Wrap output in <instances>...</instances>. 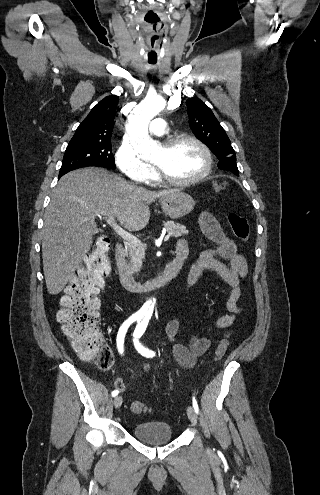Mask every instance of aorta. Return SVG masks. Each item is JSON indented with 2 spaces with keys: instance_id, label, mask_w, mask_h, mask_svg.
Returning <instances> with one entry per match:
<instances>
[{
  "instance_id": "762f6f07",
  "label": "aorta",
  "mask_w": 320,
  "mask_h": 495,
  "mask_svg": "<svg viewBox=\"0 0 320 495\" xmlns=\"http://www.w3.org/2000/svg\"><path fill=\"white\" fill-rule=\"evenodd\" d=\"M166 102L157 96H147L128 116L127 132L135 152L141 158H151L157 154L160 147L151 139L148 132L150 121L164 110ZM149 314L153 312L154 304L148 301L143 307Z\"/></svg>"
}]
</instances>
